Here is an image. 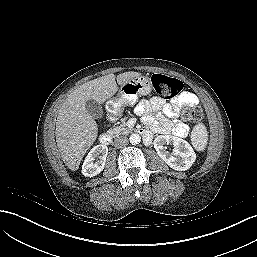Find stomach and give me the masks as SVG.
Instances as JSON below:
<instances>
[{
  "mask_svg": "<svg viewBox=\"0 0 257 257\" xmlns=\"http://www.w3.org/2000/svg\"><path fill=\"white\" fill-rule=\"evenodd\" d=\"M151 89L152 84L149 77H135L120 87L118 101L121 104L133 105L139 96L148 95Z\"/></svg>",
  "mask_w": 257,
  "mask_h": 257,
  "instance_id": "0dacf381",
  "label": "stomach"
}]
</instances>
